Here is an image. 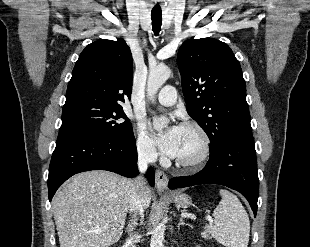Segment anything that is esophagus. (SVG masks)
<instances>
[{
    "mask_svg": "<svg viewBox=\"0 0 310 247\" xmlns=\"http://www.w3.org/2000/svg\"><path fill=\"white\" fill-rule=\"evenodd\" d=\"M155 183H156V188L159 193L166 192L167 190V184H168V178L166 174L161 171L157 170L155 173Z\"/></svg>",
    "mask_w": 310,
    "mask_h": 247,
    "instance_id": "34e87169",
    "label": "esophagus"
}]
</instances>
